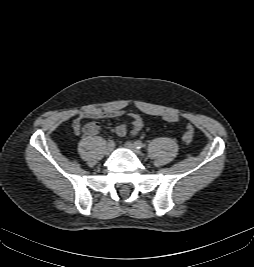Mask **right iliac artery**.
I'll return each mask as SVG.
<instances>
[{
    "label": "right iliac artery",
    "mask_w": 254,
    "mask_h": 267,
    "mask_svg": "<svg viewBox=\"0 0 254 267\" xmlns=\"http://www.w3.org/2000/svg\"><path fill=\"white\" fill-rule=\"evenodd\" d=\"M108 145L114 146L115 145V142L113 140H109Z\"/></svg>",
    "instance_id": "right-iliac-artery-1"
}]
</instances>
